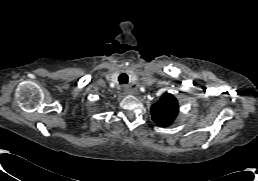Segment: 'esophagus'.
<instances>
[{"mask_svg":"<svg viewBox=\"0 0 258 181\" xmlns=\"http://www.w3.org/2000/svg\"><path fill=\"white\" fill-rule=\"evenodd\" d=\"M124 89H125V90H128V87H127V86H124Z\"/></svg>","mask_w":258,"mask_h":181,"instance_id":"34e87169","label":"esophagus"}]
</instances>
